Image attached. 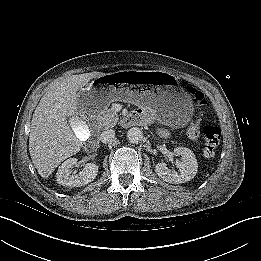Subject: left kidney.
Segmentation results:
<instances>
[{
    "label": "left kidney",
    "instance_id": "obj_1",
    "mask_svg": "<svg viewBox=\"0 0 261 261\" xmlns=\"http://www.w3.org/2000/svg\"><path fill=\"white\" fill-rule=\"evenodd\" d=\"M174 154L181 156V160L175 162L178 172L161 162L155 166L156 174L164 181L173 184L185 183L193 179L198 171V163L194 153L186 147H176Z\"/></svg>",
    "mask_w": 261,
    "mask_h": 261
}]
</instances>
